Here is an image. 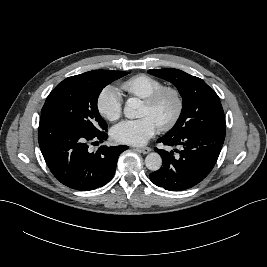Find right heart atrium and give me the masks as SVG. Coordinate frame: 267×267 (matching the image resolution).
<instances>
[{
  "label": "right heart atrium",
  "instance_id": "d8ad5b80",
  "mask_svg": "<svg viewBox=\"0 0 267 267\" xmlns=\"http://www.w3.org/2000/svg\"><path fill=\"white\" fill-rule=\"evenodd\" d=\"M96 105L100 115L109 121H116L122 114V97L113 86H107L100 91Z\"/></svg>",
  "mask_w": 267,
  "mask_h": 267
}]
</instances>
